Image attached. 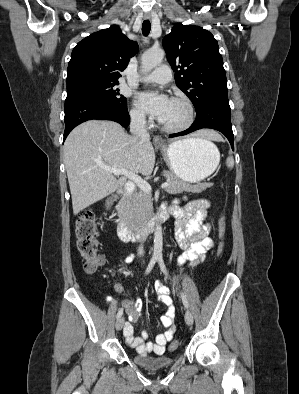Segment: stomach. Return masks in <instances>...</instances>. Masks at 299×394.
I'll return each mask as SVG.
<instances>
[{
	"mask_svg": "<svg viewBox=\"0 0 299 394\" xmlns=\"http://www.w3.org/2000/svg\"><path fill=\"white\" fill-rule=\"evenodd\" d=\"M161 152L170 171L189 183H198L210 176L220 161L218 148L198 137L174 141L162 147Z\"/></svg>",
	"mask_w": 299,
	"mask_h": 394,
	"instance_id": "0dacf381",
	"label": "stomach"
}]
</instances>
